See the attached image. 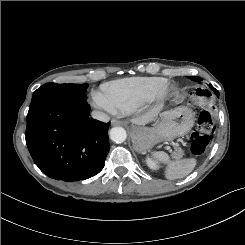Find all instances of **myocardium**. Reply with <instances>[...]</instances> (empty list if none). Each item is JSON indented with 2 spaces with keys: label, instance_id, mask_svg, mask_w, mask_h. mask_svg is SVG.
I'll return each instance as SVG.
<instances>
[{
  "label": "myocardium",
  "instance_id": "f54148a6",
  "mask_svg": "<svg viewBox=\"0 0 245 245\" xmlns=\"http://www.w3.org/2000/svg\"><path fill=\"white\" fill-rule=\"evenodd\" d=\"M174 90V84L166 82L161 89L155 94L158 99H163Z\"/></svg>",
  "mask_w": 245,
  "mask_h": 245
}]
</instances>
